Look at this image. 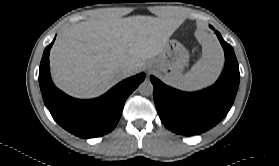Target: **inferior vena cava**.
I'll list each match as a JSON object with an SVG mask.
<instances>
[{
	"instance_id": "602c4592",
	"label": "inferior vena cava",
	"mask_w": 279,
	"mask_h": 166,
	"mask_svg": "<svg viewBox=\"0 0 279 166\" xmlns=\"http://www.w3.org/2000/svg\"><path fill=\"white\" fill-rule=\"evenodd\" d=\"M132 68L130 66H125L121 69V74L123 78H126L130 75Z\"/></svg>"
}]
</instances>
